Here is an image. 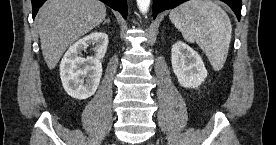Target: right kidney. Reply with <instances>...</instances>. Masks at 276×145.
I'll list each match as a JSON object with an SVG mask.
<instances>
[{
    "label": "right kidney",
    "instance_id": "ca27d5eb",
    "mask_svg": "<svg viewBox=\"0 0 276 145\" xmlns=\"http://www.w3.org/2000/svg\"><path fill=\"white\" fill-rule=\"evenodd\" d=\"M89 45L94 46V55L87 59L80 57ZM107 46L108 35L101 31L92 32L70 46L60 63L61 81L69 96L85 100L95 93L102 76L101 60Z\"/></svg>",
    "mask_w": 276,
    "mask_h": 145
}]
</instances>
